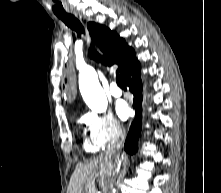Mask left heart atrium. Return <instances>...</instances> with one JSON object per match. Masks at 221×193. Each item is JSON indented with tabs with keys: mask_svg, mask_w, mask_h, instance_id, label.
<instances>
[{
	"mask_svg": "<svg viewBox=\"0 0 221 193\" xmlns=\"http://www.w3.org/2000/svg\"><path fill=\"white\" fill-rule=\"evenodd\" d=\"M116 110L119 117L123 120L127 119L130 115V108L128 104L124 101L118 102Z\"/></svg>",
	"mask_w": 221,
	"mask_h": 193,
	"instance_id": "left-heart-atrium-1",
	"label": "left heart atrium"
}]
</instances>
